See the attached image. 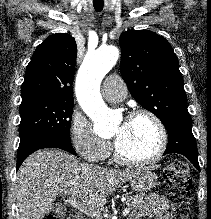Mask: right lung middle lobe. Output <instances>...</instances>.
<instances>
[{
	"instance_id": "obj_1",
	"label": "right lung middle lobe",
	"mask_w": 211,
	"mask_h": 219,
	"mask_svg": "<svg viewBox=\"0 0 211 219\" xmlns=\"http://www.w3.org/2000/svg\"><path fill=\"white\" fill-rule=\"evenodd\" d=\"M73 101L33 98L22 101L19 125L20 144L39 136H53L71 142Z\"/></svg>"
}]
</instances>
